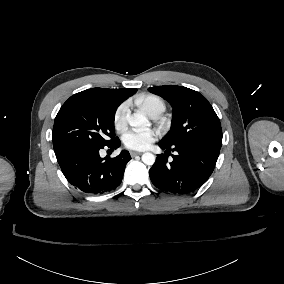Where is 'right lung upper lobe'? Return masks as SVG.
I'll list each match as a JSON object with an SVG mask.
<instances>
[{
  "instance_id": "obj_1",
  "label": "right lung upper lobe",
  "mask_w": 284,
  "mask_h": 284,
  "mask_svg": "<svg viewBox=\"0 0 284 284\" xmlns=\"http://www.w3.org/2000/svg\"><path fill=\"white\" fill-rule=\"evenodd\" d=\"M87 92L94 93L103 99H105L109 104L114 107H118L124 100L133 95L137 89H105V88H92L85 90Z\"/></svg>"
}]
</instances>
